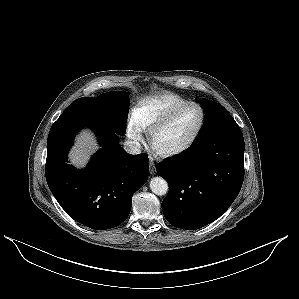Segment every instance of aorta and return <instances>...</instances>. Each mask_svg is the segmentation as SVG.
I'll use <instances>...</instances> for the list:
<instances>
[{
    "label": "aorta",
    "instance_id": "1",
    "mask_svg": "<svg viewBox=\"0 0 299 299\" xmlns=\"http://www.w3.org/2000/svg\"><path fill=\"white\" fill-rule=\"evenodd\" d=\"M168 188L167 181L162 177H154L150 181V189L156 195H165L168 191Z\"/></svg>",
    "mask_w": 299,
    "mask_h": 299
}]
</instances>
